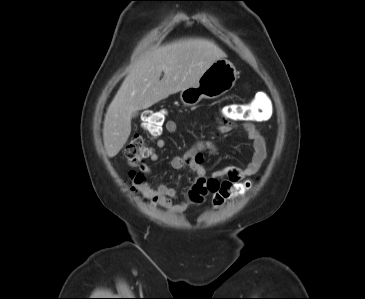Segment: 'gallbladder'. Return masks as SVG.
<instances>
[{
	"label": "gallbladder",
	"instance_id": "obj_1",
	"mask_svg": "<svg viewBox=\"0 0 365 299\" xmlns=\"http://www.w3.org/2000/svg\"><path fill=\"white\" fill-rule=\"evenodd\" d=\"M138 116V112H134L133 114H132V118H135V117H137Z\"/></svg>",
	"mask_w": 365,
	"mask_h": 299
}]
</instances>
